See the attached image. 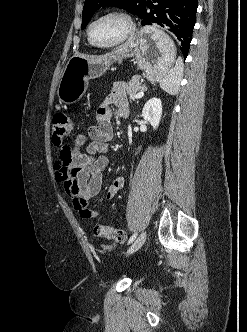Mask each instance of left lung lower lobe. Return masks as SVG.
<instances>
[{
  "label": "left lung lower lobe",
  "instance_id": "1",
  "mask_svg": "<svg viewBox=\"0 0 247 332\" xmlns=\"http://www.w3.org/2000/svg\"><path fill=\"white\" fill-rule=\"evenodd\" d=\"M155 3V5H153ZM197 0H148L139 18L142 24L157 23L172 32L186 57L195 25Z\"/></svg>",
  "mask_w": 247,
  "mask_h": 332
}]
</instances>
